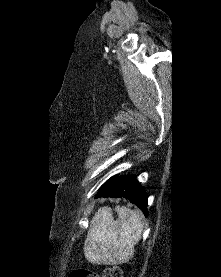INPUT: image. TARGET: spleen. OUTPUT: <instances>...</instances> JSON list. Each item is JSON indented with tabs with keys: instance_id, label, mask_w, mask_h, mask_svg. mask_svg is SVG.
I'll return each instance as SVG.
<instances>
[{
	"instance_id": "obj_1",
	"label": "spleen",
	"mask_w": 221,
	"mask_h": 277,
	"mask_svg": "<svg viewBox=\"0 0 221 277\" xmlns=\"http://www.w3.org/2000/svg\"><path fill=\"white\" fill-rule=\"evenodd\" d=\"M115 211L117 221L107 209L99 210L91 221L84 242V255L91 263L122 264L133 257L142 235V216L126 207L117 206Z\"/></svg>"
}]
</instances>
